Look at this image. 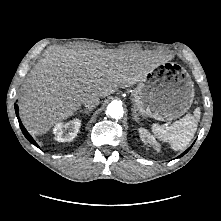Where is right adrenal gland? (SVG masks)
<instances>
[{
	"instance_id": "1",
	"label": "right adrenal gland",
	"mask_w": 221,
	"mask_h": 221,
	"mask_svg": "<svg viewBox=\"0 0 221 221\" xmlns=\"http://www.w3.org/2000/svg\"><path fill=\"white\" fill-rule=\"evenodd\" d=\"M91 111V109H81L79 112H82L84 114H88Z\"/></svg>"
}]
</instances>
